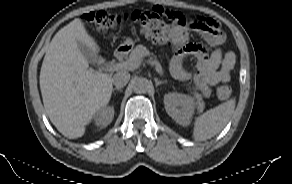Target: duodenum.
I'll return each instance as SVG.
<instances>
[{"label": "duodenum", "mask_w": 292, "mask_h": 184, "mask_svg": "<svg viewBox=\"0 0 292 184\" xmlns=\"http://www.w3.org/2000/svg\"><path fill=\"white\" fill-rule=\"evenodd\" d=\"M128 53V49L125 48V47H120L118 48L115 52H114V57L117 59V60H122L126 57Z\"/></svg>", "instance_id": "duodenum-1"}]
</instances>
